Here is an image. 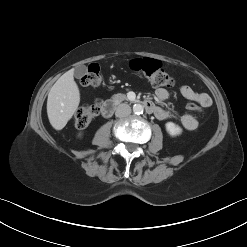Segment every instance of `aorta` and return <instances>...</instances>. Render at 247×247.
<instances>
[{
  "label": "aorta",
  "instance_id": "aorta-1",
  "mask_svg": "<svg viewBox=\"0 0 247 247\" xmlns=\"http://www.w3.org/2000/svg\"><path fill=\"white\" fill-rule=\"evenodd\" d=\"M143 110H144V108H143V106L141 104H134L133 105V112L135 114H142Z\"/></svg>",
  "mask_w": 247,
  "mask_h": 247
}]
</instances>
